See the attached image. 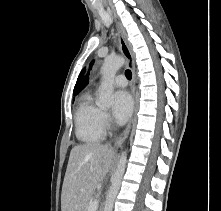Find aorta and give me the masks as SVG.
<instances>
[{
	"label": "aorta",
	"instance_id": "762f6f07",
	"mask_svg": "<svg viewBox=\"0 0 221 211\" xmlns=\"http://www.w3.org/2000/svg\"><path fill=\"white\" fill-rule=\"evenodd\" d=\"M125 60L122 57H108L104 60L101 68L102 84L99 88L97 106L100 108H109L114 103L113 82L116 72L124 65ZM127 162V153L123 151L117 163L116 171L111 179L110 191L107 195L104 210L112 211L116 195L119 191L121 181L125 172Z\"/></svg>",
	"mask_w": 221,
	"mask_h": 211
}]
</instances>
